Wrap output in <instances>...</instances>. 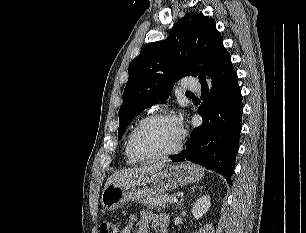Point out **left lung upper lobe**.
<instances>
[{"mask_svg": "<svg viewBox=\"0 0 306 233\" xmlns=\"http://www.w3.org/2000/svg\"><path fill=\"white\" fill-rule=\"evenodd\" d=\"M227 52L213 19L187 13L166 40L146 45L129 65V79L119 110L118 139L129 122L153 103L170 95L174 82L186 75L205 79ZM196 61L204 63L202 70Z\"/></svg>", "mask_w": 306, "mask_h": 233, "instance_id": "5c2ea615", "label": "left lung upper lobe"}]
</instances>
